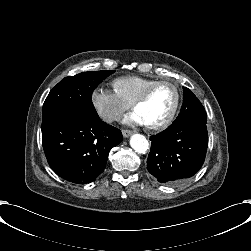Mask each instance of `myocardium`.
I'll list each match as a JSON object with an SVG mask.
<instances>
[{"instance_id":"myocardium-1","label":"myocardium","mask_w":251,"mask_h":251,"mask_svg":"<svg viewBox=\"0 0 251 251\" xmlns=\"http://www.w3.org/2000/svg\"><path fill=\"white\" fill-rule=\"evenodd\" d=\"M164 83H168V84H171L174 86V88L176 90V94H177L176 102H175V105H174L172 111L170 112V114L167 116V118L165 120H163L160 123L153 124V125L145 124L146 129H148L150 131L163 130V129L167 128L168 126H170V124L173 122L175 116L177 115V113L181 107V103H182L183 91H182L181 85L178 82L172 81L169 79L155 80L153 83H151L149 86L146 87V89L143 91V93L132 104L133 109L136 110L139 106H141L142 104L147 102V100L150 98L152 92L159 85L164 84Z\"/></svg>"}]
</instances>
